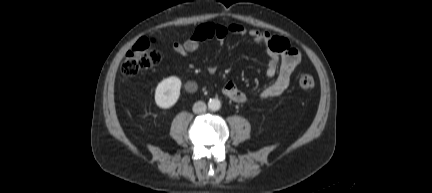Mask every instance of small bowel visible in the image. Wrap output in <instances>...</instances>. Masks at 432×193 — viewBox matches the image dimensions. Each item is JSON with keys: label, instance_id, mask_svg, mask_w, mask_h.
I'll list each match as a JSON object with an SVG mask.
<instances>
[{"label": "small bowel", "instance_id": "c3829d8e", "mask_svg": "<svg viewBox=\"0 0 432 193\" xmlns=\"http://www.w3.org/2000/svg\"><path fill=\"white\" fill-rule=\"evenodd\" d=\"M219 30H222V35H216ZM227 33L248 36L254 42L264 46L268 56L266 74L269 78L275 77V79L259 92V97L272 98L281 95L288 88L291 74L301 61L300 51L292 47L286 38L274 36L258 29H246L244 26L236 23L230 24L227 27L216 24H204L199 26L194 34L184 42L174 43L173 50L177 55L185 57L189 53L195 52L204 40L215 38L218 42H221ZM207 71L210 74H215L217 65L209 64ZM185 89L188 92H195L197 84L189 81L186 83ZM223 94L238 103L245 102L248 98L247 94L234 81H228L224 85Z\"/></svg>", "mask_w": 432, "mask_h": 193}]
</instances>
